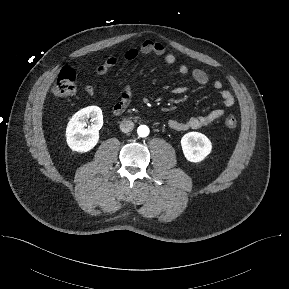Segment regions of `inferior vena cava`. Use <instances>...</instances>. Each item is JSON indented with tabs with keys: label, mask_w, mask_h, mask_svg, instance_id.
Here are the masks:
<instances>
[{
	"label": "inferior vena cava",
	"mask_w": 289,
	"mask_h": 289,
	"mask_svg": "<svg viewBox=\"0 0 289 289\" xmlns=\"http://www.w3.org/2000/svg\"><path fill=\"white\" fill-rule=\"evenodd\" d=\"M134 128V123L131 120L124 119L120 123V130L124 133H128L132 131Z\"/></svg>",
	"instance_id": "inferior-vena-cava-1"
}]
</instances>
